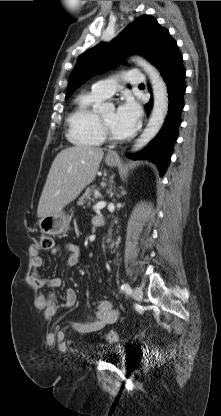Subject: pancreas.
Returning <instances> with one entry per match:
<instances>
[{"instance_id": "pancreas-1", "label": "pancreas", "mask_w": 221, "mask_h": 416, "mask_svg": "<svg viewBox=\"0 0 221 416\" xmlns=\"http://www.w3.org/2000/svg\"><path fill=\"white\" fill-rule=\"evenodd\" d=\"M95 192H98V190L95 189V187L86 189V192L82 195V197L79 200V204L83 205L86 202L90 204V201H94L95 198H101V195L100 194L96 195Z\"/></svg>"}]
</instances>
